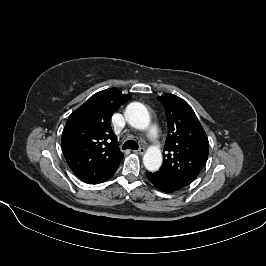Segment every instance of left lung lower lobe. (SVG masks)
I'll list each match as a JSON object with an SVG mask.
<instances>
[{
	"label": "left lung lower lobe",
	"instance_id": "left-lung-lower-lobe-1",
	"mask_svg": "<svg viewBox=\"0 0 266 266\" xmlns=\"http://www.w3.org/2000/svg\"><path fill=\"white\" fill-rule=\"evenodd\" d=\"M146 175L149 181L152 182L161 191L174 192L181 189L180 187L175 186L166 181L165 179H163L162 177H160L156 172L155 173L146 172Z\"/></svg>",
	"mask_w": 266,
	"mask_h": 266
}]
</instances>
